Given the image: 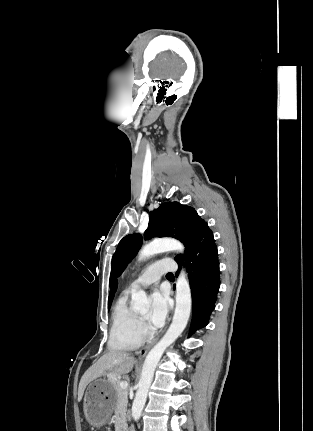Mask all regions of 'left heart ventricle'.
I'll return each instance as SVG.
<instances>
[{"mask_svg":"<svg viewBox=\"0 0 313 431\" xmlns=\"http://www.w3.org/2000/svg\"><path fill=\"white\" fill-rule=\"evenodd\" d=\"M143 317H144V318H146V317H147V314H143Z\"/></svg>","mask_w":313,"mask_h":431,"instance_id":"1","label":"left heart ventricle"}]
</instances>
